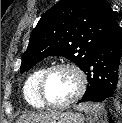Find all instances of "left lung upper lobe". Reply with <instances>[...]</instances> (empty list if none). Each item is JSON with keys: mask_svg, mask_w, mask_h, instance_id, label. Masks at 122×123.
Masks as SVG:
<instances>
[{"mask_svg": "<svg viewBox=\"0 0 122 123\" xmlns=\"http://www.w3.org/2000/svg\"><path fill=\"white\" fill-rule=\"evenodd\" d=\"M116 19L106 0H60L32 31L21 72L54 55L64 56L84 71L94 48Z\"/></svg>", "mask_w": 122, "mask_h": 123, "instance_id": "obj_1", "label": "left lung upper lobe"}]
</instances>
